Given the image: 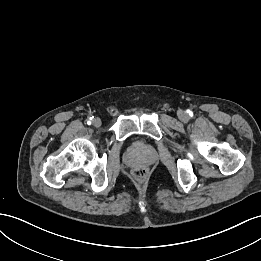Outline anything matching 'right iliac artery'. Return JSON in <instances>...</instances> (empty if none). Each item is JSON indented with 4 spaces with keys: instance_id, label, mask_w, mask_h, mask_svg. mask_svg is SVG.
I'll use <instances>...</instances> for the list:
<instances>
[{
    "instance_id": "right-iliac-artery-1",
    "label": "right iliac artery",
    "mask_w": 261,
    "mask_h": 261,
    "mask_svg": "<svg viewBox=\"0 0 261 261\" xmlns=\"http://www.w3.org/2000/svg\"><path fill=\"white\" fill-rule=\"evenodd\" d=\"M92 119H93V116L89 118V120L87 121V124H91Z\"/></svg>"
}]
</instances>
